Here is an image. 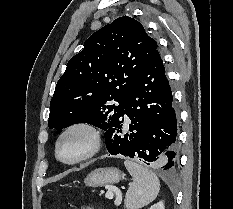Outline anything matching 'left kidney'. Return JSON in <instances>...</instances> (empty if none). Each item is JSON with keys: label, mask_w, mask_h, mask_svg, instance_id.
Returning <instances> with one entry per match:
<instances>
[{"label": "left kidney", "mask_w": 233, "mask_h": 209, "mask_svg": "<svg viewBox=\"0 0 233 209\" xmlns=\"http://www.w3.org/2000/svg\"><path fill=\"white\" fill-rule=\"evenodd\" d=\"M149 209H165L163 202H158L152 205Z\"/></svg>", "instance_id": "obj_1"}]
</instances>
